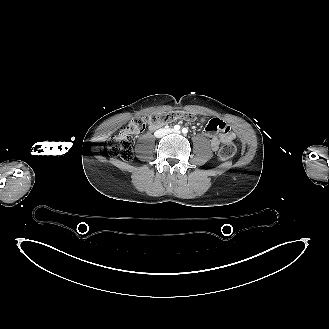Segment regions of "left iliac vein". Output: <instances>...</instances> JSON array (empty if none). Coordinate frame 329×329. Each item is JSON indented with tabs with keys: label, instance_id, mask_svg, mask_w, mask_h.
Segmentation results:
<instances>
[{
	"label": "left iliac vein",
	"instance_id": "left-iliac-vein-1",
	"mask_svg": "<svg viewBox=\"0 0 329 329\" xmlns=\"http://www.w3.org/2000/svg\"><path fill=\"white\" fill-rule=\"evenodd\" d=\"M175 133H180V131H174Z\"/></svg>",
	"mask_w": 329,
	"mask_h": 329
}]
</instances>
